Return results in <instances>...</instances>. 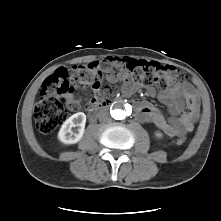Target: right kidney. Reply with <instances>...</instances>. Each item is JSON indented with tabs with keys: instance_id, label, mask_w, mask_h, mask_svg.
I'll use <instances>...</instances> for the list:
<instances>
[{
	"instance_id": "1",
	"label": "right kidney",
	"mask_w": 221,
	"mask_h": 221,
	"mask_svg": "<svg viewBox=\"0 0 221 221\" xmlns=\"http://www.w3.org/2000/svg\"><path fill=\"white\" fill-rule=\"evenodd\" d=\"M86 115L83 112H78L69 117L62 124L58 139L65 144H74L81 140L85 130ZM76 129H73L75 128Z\"/></svg>"
}]
</instances>
